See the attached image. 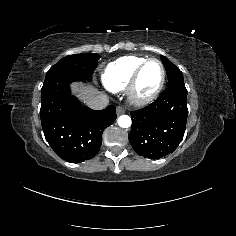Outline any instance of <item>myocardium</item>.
Listing matches in <instances>:
<instances>
[{"label":"myocardium","instance_id":"1","mask_svg":"<svg viewBox=\"0 0 236 236\" xmlns=\"http://www.w3.org/2000/svg\"><path fill=\"white\" fill-rule=\"evenodd\" d=\"M150 62H157L160 64V66L162 68V77H161V81H160L159 85L154 90V92L148 96L143 97L138 94L137 85H138V81H139L142 71ZM166 76H167L166 67L160 59L147 58L145 61H143L138 66V68L136 69V71L131 79V82L127 88V95H128L129 101L136 106H146V105L153 103L160 95V93L166 83Z\"/></svg>","mask_w":236,"mask_h":236}]
</instances>
